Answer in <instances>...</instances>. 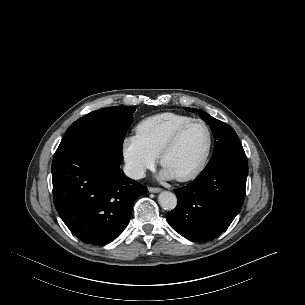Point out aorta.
<instances>
[{
  "label": "aorta",
  "mask_w": 305,
  "mask_h": 305,
  "mask_svg": "<svg viewBox=\"0 0 305 305\" xmlns=\"http://www.w3.org/2000/svg\"><path fill=\"white\" fill-rule=\"evenodd\" d=\"M158 201L165 210H173L177 205L176 195L169 191H162L158 196Z\"/></svg>",
  "instance_id": "aorta-1"
}]
</instances>
